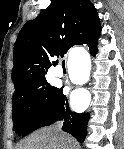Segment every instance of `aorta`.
<instances>
[{"label": "aorta", "instance_id": "aorta-1", "mask_svg": "<svg viewBox=\"0 0 124 149\" xmlns=\"http://www.w3.org/2000/svg\"><path fill=\"white\" fill-rule=\"evenodd\" d=\"M78 61L82 64L79 65ZM70 67L72 68V73L78 74L79 72H83L84 75L89 74L90 69V59L87 53H81L79 56L70 61Z\"/></svg>", "mask_w": 124, "mask_h": 149}]
</instances>
